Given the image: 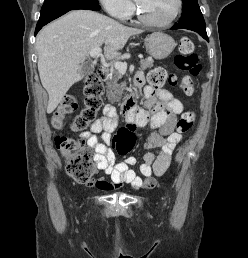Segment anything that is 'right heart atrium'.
Returning a JSON list of instances; mask_svg holds the SVG:
<instances>
[{
  "mask_svg": "<svg viewBox=\"0 0 248 258\" xmlns=\"http://www.w3.org/2000/svg\"><path fill=\"white\" fill-rule=\"evenodd\" d=\"M105 11L119 19L127 18L132 12L129 0H99Z\"/></svg>",
  "mask_w": 248,
  "mask_h": 258,
  "instance_id": "right-heart-atrium-1",
  "label": "right heart atrium"
}]
</instances>
